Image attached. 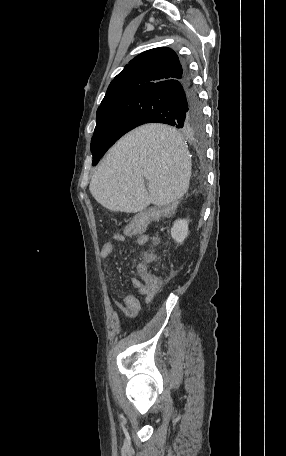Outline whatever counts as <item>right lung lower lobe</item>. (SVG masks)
Wrapping results in <instances>:
<instances>
[{
    "mask_svg": "<svg viewBox=\"0 0 286 456\" xmlns=\"http://www.w3.org/2000/svg\"><path fill=\"white\" fill-rule=\"evenodd\" d=\"M137 107L138 126L145 123H165L194 133L203 123L202 108L189 72L143 88L129 96Z\"/></svg>",
    "mask_w": 286,
    "mask_h": 456,
    "instance_id": "right-lung-lower-lobe-1",
    "label": "right lung lower lobe"
}]
</instances>
